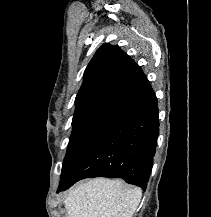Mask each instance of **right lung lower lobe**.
Returning <instances> with one entry per match:
<instances>
[{
	"label": "right lung lower lobe",
	"instance_id": "right-lung-lower-lobe-1",
	"mask_svg": "<svg viewBox=\"0 0 211 217\" xmlns=\"http://www.w3.org/2000/svg\"><path fill=\"white\" fill-rule=\"evenodd\" d=\"M159 135L155 93L133 103L100 133L92 145L61 179L58 192L84 178H122L144 190L152 170Z\"/></svg>",
	"mask_w": 211,
	"mask_h": 217
}]
</instances>
